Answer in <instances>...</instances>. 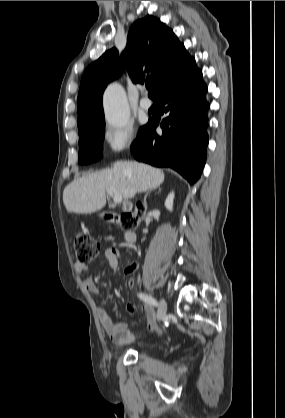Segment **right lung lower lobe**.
<instances>
[{
  "label": "right lung lower lobe",
  "mask_w": 285,
  "mask_h": 418,
  "mask_svg": "<svg viewBox=\"0 0 285 418\" xmlns=\"http://www.w3.org/2000/svg\"><path fill=\"white\" fill-rule=\"evenodd\" d=\"M206 93L199 69L168 88L156 100L168 114L160 124L163 131L157 134L159 121L150 118L131 145L135 159L170 167L194 184L204 168L209 141Z\"/></svg>",
  "instance_id": "right-lung-lower-lobe-1"
}]
</instances>
